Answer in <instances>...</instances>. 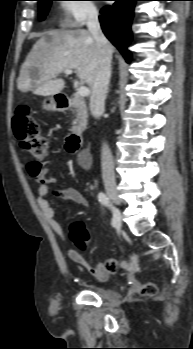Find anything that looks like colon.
Segmentation results:
<instances>
[{
    "mask_svg": "<svg viewBox=\"0 0 193 349\" xmlns=\"http://www.w3.org/2000/svg\"><path fill=\"white\" fill-rule=\"evenodd\" d=\"M12 124L20 146L36 159L35 162H39L49 154L50 143L42 135L39 123L27 107H21L17 110ZM72 236L80 247L85 246L88 234L82 223H75L72 226ZM143 292L147 295H153L156 293V287L149 284L143 289Z\"/></svg>",
    "mask_w": 193,
    "mask_h": 349,
    "instance_id": "1",
    "label": "colon"
}]
</instances>
